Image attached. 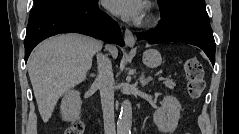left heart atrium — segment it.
<instances>
[{
	"label": "left heart atrium",
	"instance_id": "39dd6f15",
	"mask_svg": "<svg viewBox=\"0 0 239 134\" xmlns=\"http://www.w3.org/2000/svg\"><path fill=\"white\" fill-rule=\"evenodd\" d=\"M107 8L124 20L139 22L145 15V3L142 0H107Z\"/></svg>",
	"mask_w": 239,
	"mask_h": 134
}]
</instances>
